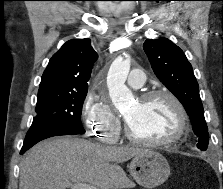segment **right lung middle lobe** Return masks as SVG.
<instances>
[{
    "mask_svg": "<svg viewBox=\"0 0 223 189\" xmlns=\"http://www.w3.org/2000/svg\"><path fill=\"white\" fill-rule=\"evenodd\" d=\"M88 89L38 93L33 123L57 124L84 134L82 106Z\"/></svg>",
    "mask_w": 223,
    "mask_h": 189,
    "instance_id": "right-lung-middle-lobe-1",
    "label": "right lung middle lobe"
}]
</instances>
